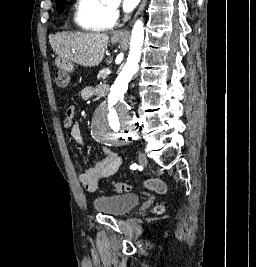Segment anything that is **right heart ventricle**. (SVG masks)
I'll use <instances>...</instances> for the list:
<instances>
[{
  "label": "right heart ventricle",
  "instance_id": "e07e8e85",
  "mask_svg": "<svg viewBox=\"0 0 256 267\" xmlns=\"http://www.w3.org/2000/svg\"><path fill=\"white\" fill-rule=\"evenodd\" d=\"M111 0H80L78 9L83 8L87 12L86 19L79 22L87 36H106L100 33L99 25L109 16ZM69 28V27H65Z\"/></svg>",
  "mask_w": 256,
  "mask_h": 267
}]
</instances>
